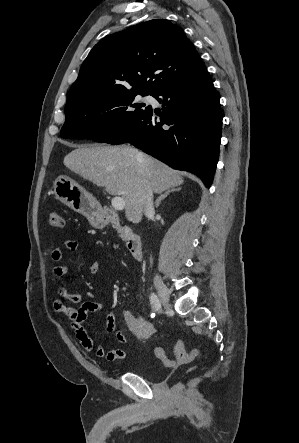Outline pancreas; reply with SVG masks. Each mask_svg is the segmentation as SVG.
I'll use <instances>...</instances> for the list:
<instances>
[{
  "mask_svg": "<svg viewBox=\"0 0 299 443\" xmlns=\"http://www.w3.org/2000/svg\"><path fill=\"white\" fill-rule=\"evenodd\" d=\"M120 237H121L122 239H125V236H124L123 234H120Z\"/></svg>",
  "mask_w": 299,
  "mask_h": 443,
  "instance_id": "cf45deb5",
  "label": "pancreas"
}]
</instances>
